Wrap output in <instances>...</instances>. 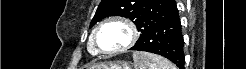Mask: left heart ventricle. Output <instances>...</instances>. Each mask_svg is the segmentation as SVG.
Listing matches in <instances>:
<instances>
[{
    "label": "left heart ventricle",
    "instance_id": "obj_1",
    "mask_svg": "<svg viewBox=\"0 0 246 69\" xmlns=\"http://www.w3.org/2000/svg\"><path fill=\"white\" fill-rule=\"evenodd\" d=\"M128 38V29L117 22L108 23L98 33V42L103 49L120 47Z\"/></svg>",
    "mask_w": 246,
    "mask_h": 69
}]
</instances>
